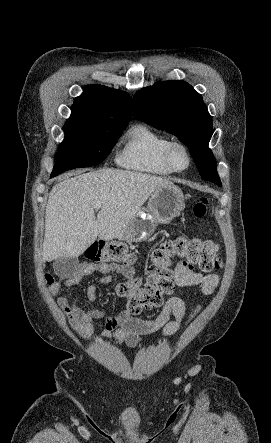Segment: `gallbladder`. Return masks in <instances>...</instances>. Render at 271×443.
<instances>
[{
	"instance_id": "gallbladder-1",
	"label": "gallbladder",
	"mask_w": 271,
	"mask_h": 443,
	"mask_svg": "<svg viewBox=\"0 0 271 443\" xmlns=\"http://www.w3.org/2000/svg\"><path fill=\"white\" fill-rule=\"evenodd\" d=\"M53 267L59 278H70L71 273H76V270L81 268V261L63 257V259H55Z\"/></svg>"
}]
</instances>
